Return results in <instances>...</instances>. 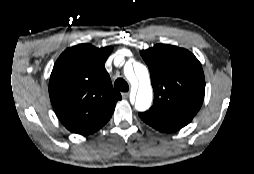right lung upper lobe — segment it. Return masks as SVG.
Returning a JSON list of instances; mask_svg holds the SVG:
<instances>
[{
	"label": "right lung upper lobe",
	"mask_w": 254,
	"mask_h": 174,
	"mask_svg": "<svg viewBox=\"0 0 254 174\" xmlns=\"http://www.w3.org/2000/svg\"><path fill=\"white\" fill-rule=\"evenodd\" d=\"M112 49L79 44L66 49L53 67L50 100L57 117L71 132L79 133L100 123L121 99L105 70Z\"/></svg>",
	"instance_id": "right-lung-upper-lobe-1"
}]
</instances>
